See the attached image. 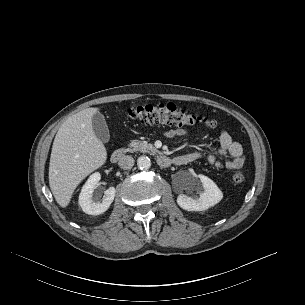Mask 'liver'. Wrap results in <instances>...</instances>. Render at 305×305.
<instances>
[{
    "label": "liver",
    "mask_w": 305,
    "mask_h": 305,
    "mask_svg": "<svg viewBox=\"0 0 305 305\" xmlns=\"http://www.w3.org/2000/svg\"><path fill=\"white\" fill-rule=\"evenodd\" d=\"M98 108H87L69 117L59 128L52 146L49 185L57 203L69 205L74 190L107 159L103 143L96 137L92 118Z\"/></svg>",
    "instance_id": "liver-1"
}]
</instances>
